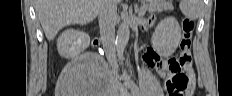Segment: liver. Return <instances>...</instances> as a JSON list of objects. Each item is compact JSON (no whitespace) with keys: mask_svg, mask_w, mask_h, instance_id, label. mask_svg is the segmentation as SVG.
I'll return each mask as SVG.
<instances>
[{"mask_svg":"<svg viewBox=\"0 0 232 96\" xmlns=\"http://www.w3.org/2000/svg\"><path fill=\"white\" fill-rule=\"evenodd\" d=\"M101 0H35V11L49 41L70 24L84 25L99 14Z\"/></svg>","mask_w":232,"mask_h":96,"instance_id":"obj_1","label":"liver"}]
</instances>
